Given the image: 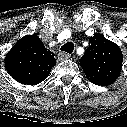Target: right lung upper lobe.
I'll use <instances>...</instances> for the list:
<instances>
[{"label": "right lung upper lobe", "instance_id": "right-lung-upper-lobe-1", "mask_svg": "<svg viewBox=\"0 0 127 127\" xmlns=\"http://www.w3.org/2000/svg\"><path fill=\"white\" fill-rule=\"evenodd\" d=\"M56 60L36 34L22 37L5 57V68L18 82L36 85L45 80Z\"/></svg>", "mask_w": 127, "mask_h": 127}]
</instances>
